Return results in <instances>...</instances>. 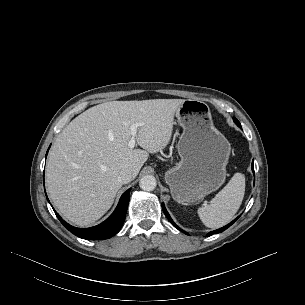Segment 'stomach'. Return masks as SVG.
Segmentation results:
<instances>
[{"mask_svg": "<svg viewBox=\"0 0 305 305\" xmlns=\"http://www.w3.org/2000/svg\"><path fill=\"white\" fill-rule=\"evenodd\" d=\"M176 117L183 129L178 142L181 160L165 173V182L177 202H196L225 182L231 146L215 128L205 102L185 100Z\"/></svg>", "mask_w": 305, "mask_h": 305, "instance_id": "0dacf381", "label": "stomach"}]
</instances>
